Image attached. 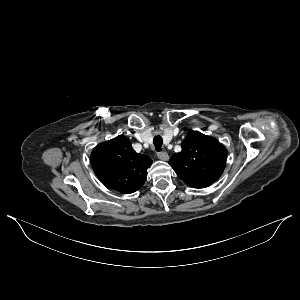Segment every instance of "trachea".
I'll return each instance as SVG.
<instances>
[{"label":"trachea","instance_id":"1","mask_svg":"<svg viewBox=\"0 0 300 300\" xmlns=\"http://www.w3.org/2000/svg\"><path fill=\"white\" fill-rule=\"evenodd\" d=\"M153 143H154V146L156 148V151L158 152H161L162 151V144H163V139L160 135H156L154 138H153Z\"/></svg>","mask_w":300,"mask_h":300}]
</instances>
